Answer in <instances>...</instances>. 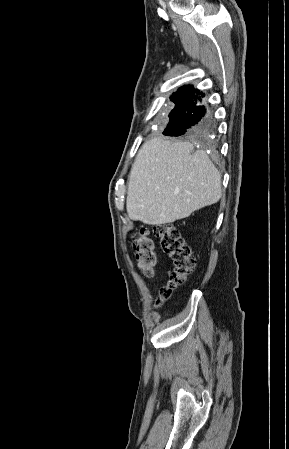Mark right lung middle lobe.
<instances>
[{"label": "right lung middle lobe", "instance_id": "1", "mask_svg": "<svg viewBox=\"0 0 289 449\" xmlns=\"http://www.w3.org/2000/svg\"><path fill=\"white\" fill-rule=\"evenodd\" d=\"M170 117H171V113L169 114V119H170ZM167 126H168V125H167ZM163 134H164V135H167V136H173V135L169 134L168 127L164 130Z\"/></svg>", "mask_w": 289, "mask_h": 449}]
</instances>
